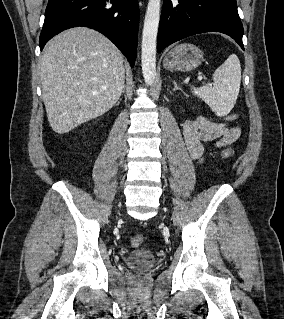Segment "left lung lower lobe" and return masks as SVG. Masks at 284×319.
Wrapping results in <instances>:
<instances>
[{
    "mask_svg": "<svg viewBox=\"0 0 284 319\" xmlns=\"http://www.w3.org/2000/svg\"><path fill=\"white\" fill-rule=\"evenodd\" d=\"M221 32L244 50L243 25L236 0H164L158 30L157 51L191 35Z\"/></svg>",
    "mask_w": 284,
    "mask_h": 319,
    "instance_id": "left-lung-lower-lobe-1",
    "label": "left lung lower lobe"
}]
</instances>
